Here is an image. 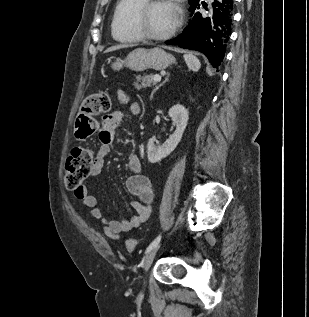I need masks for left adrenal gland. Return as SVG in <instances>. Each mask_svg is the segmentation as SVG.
<instances>
[{
    "label": "left adrenal gland",
    "instance_id": "left-adrenal-gland-1",
    "mask_svg": "<svg viewBox=\"0 0 309 317\" xmlns=\"http://www.w3.org/2000/svg\"><path fill=\"white\" fill-rule=\"evenodd\" d=\"M169 79V75H167V77L165 78V80L159 85L157 86L151 93V98L153 97V94L159 89V87H161L162 85H164Z\"/></svg>",
    "mask_w": 309,
    "mask_h": 317
}]
</instances>
